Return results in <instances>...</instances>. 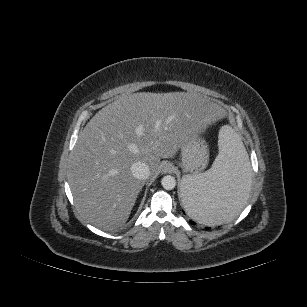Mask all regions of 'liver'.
I'll return each mask as SVG.
<instances>
[{
  "label": "liver",
  "mask_w": 307,
  "mask_h": 307,
  "mask_svg": "<svg viewBox=\"0 0 307 307\" xmlns=\"http://www.w3.org/2000/svg\"><path fill=\"white\" fill-rule=\"evenodd\" d=\"M226 114L189 93H134L102 108L80 132L70 156L69 185L79 213L105 231L122 227L144 182L130 170L146 163L157 175L186 139Z\"/></svg>",
  "instance_id": "liver-1"
}]
</instances>
